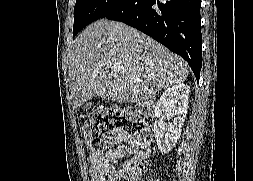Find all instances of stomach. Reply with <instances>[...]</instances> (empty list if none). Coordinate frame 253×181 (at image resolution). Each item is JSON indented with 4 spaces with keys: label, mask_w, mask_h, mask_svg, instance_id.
<instances>
[{
    "label": "stomach",
    "mask_w": 253,
    "mask_h": 181,
    "mask_svg": "<svg viewBox=\"0 0 253 181\" xmlns=\"http://www.w3.org/2000/svg\"><path fill=\"white\" fill-rule=\"evenodd\" d=\"M91 105V103H88L87 106Z\"/></svg>",
    "instance_id": "0dacf381"
}]
</instances>
